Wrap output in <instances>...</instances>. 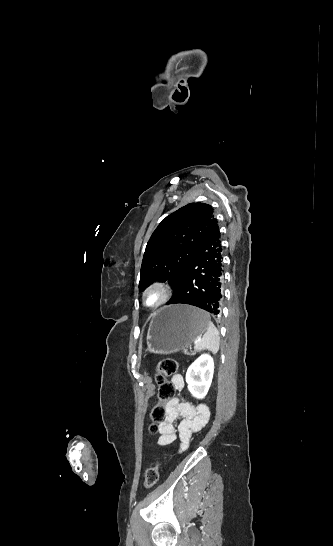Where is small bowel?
<instances>
[{"instance_id": "c3829d8e", "label": "small bowel", "mask_w": 333, "mask_h": 546, "mask_svg": "<svg viewBox=\"0 0 333 546\" xmlns=\"http://www.w3.org/2000/svg\"><path fill=\"white\" fill-rule=\"evenodd\" d=\"M172 384L179 391L185 388V380L181 374L171 378ZM165 417L158 426L159 446H168L180 439V450H185L194 433L201 431L210 419V410L204 404L193 405L188 402H181L173 398L165 405ZM181 419L178 427L175 426L177 419Z\"/></svg>"}]
</instances>
